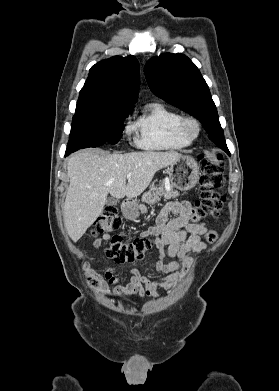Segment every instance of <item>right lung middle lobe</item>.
<instances>
[{
	"label": "right lung middle lobe",
	"instance_id": "obj_1",
	"mask_svg": "<svg viewBox=\"0 0 279 391\" xmlns=\"http://www.w3.org/2000/svg\"><path fill=\"white\" fill-rule=\"evenodd\" d=\"M131 112V108L76 112L66 153L70 154L86 147H97L106 142L116 144L121 139L122 123Z\"/></svg>",
	"mask_w": 279,
	"mask_h": 391
}]
</instances>
